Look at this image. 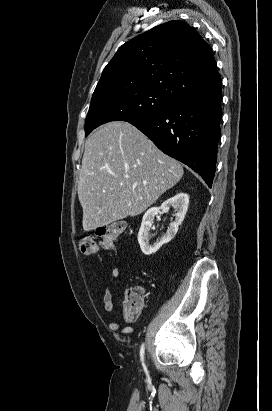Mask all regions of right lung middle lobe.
Here are the masks:
<instances>
[{
  "label": "right lung middle lobe",
  "instance_id": "right-lung-middle-lobe-1",
  "mask_svg": "<svg viewBox=\"0 0 272 411\" xmlns=\"http://www.w3.org/2000/svg\"><path fill=\"white\" fill-rule=\"evenodd\" d=\"M176 101L175 95L169 91L145 87L94 93L85 122V136L101 124L144 119Z\"/></svg>",
  "mask_w": 272,
  "mask_h": 411
}]
</instances>
